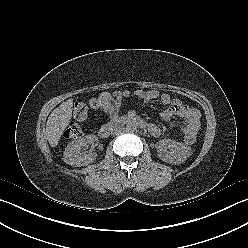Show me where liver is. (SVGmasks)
<instances>
[{
  "label": "liver",
  "instance_id": "6515ba94",
  "mask_svg": "<svg viewBox=\"0 0 248 248\" xmlns=\"http://www.w3.org/2000/svg\"><path fill=\"white\" fill-rule=\"evenodd\" d=\"M72 99L63 102L59 107L55 108L46 123V136L51 147H56L59 143L61 135L68 126L72 116Z\"/></svg>",
  "mask_w": 248,
  "mask_h": 248
}]
</instances>
